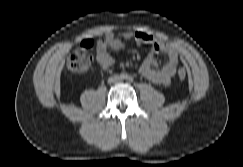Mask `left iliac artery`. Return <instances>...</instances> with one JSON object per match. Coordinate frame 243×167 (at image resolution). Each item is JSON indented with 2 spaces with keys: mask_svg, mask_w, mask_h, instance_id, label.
Masks as SVG:
<instances>
[{
  "mask_svg": "<svg viewBox=\"0 0 243 167\" xmlns=\"http://www.w3.org/2000/svg\"><path fill=\"white\" fill-rule=\"evenodd\" d=\"M128 80H129V81H133V78H132V77H128Z\"/></svg>",
  "mask_w": 243,
  "mask_h": 167,
  "instance_id": "left-iliac-artery-1",
  "label": "left iliac artery"
}]
</instances>
